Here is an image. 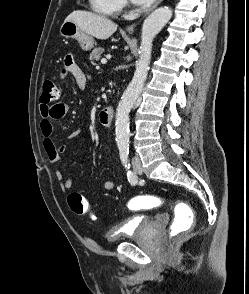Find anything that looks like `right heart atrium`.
<instances>
[{
	"instance_id": "obj_1",
	"label": "right heart atrium",
	"mask_w": 249,
	"mask_h": 294,
	"mask_svg": "<svg viewBox=\"0 0 249 294\" xmlns=\"http://www.w3.org/2000/svg\"><path fill=\"white\" fill-rule=\"evenodd\" d=\"M121 1V6L125 5V1L124 0H120Z\"/></svg>"
}]
</instances>
